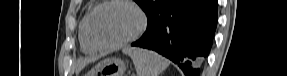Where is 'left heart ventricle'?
<instances>
[{
	"label": "left heart ventricle",
	"mask_w": 287,
	"mask_h": 76,
	"mask_svg": "<svg viewBox=\"0 0 287 76\" xmlns=\"http://www.w3.org/2000/svg\"><path fill=\"white\" fill-rule=\"evenodd\" d=\"M139 16L128 5L115 3L101 8L93 19V33L103 43H114L133 34Z\"/></svg>",
	"instance_id": "obj_1"
}]
</instances>
